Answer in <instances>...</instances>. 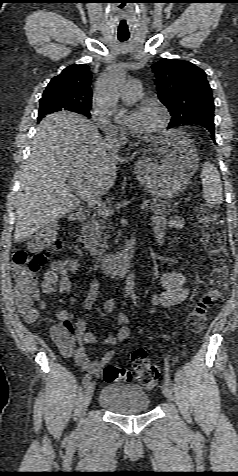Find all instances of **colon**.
Listing matches in <instances>:
<instances>
[{
  "instance_id": "obj_1",
  "label": "colon",
  "mask_w": 238,
  "mask_h": 476,
  "mask_svg": "<svg viewBox=\"0 0 238 476\" xmlns=\"http://www.w3.org/2000/svg\"><path fill=\"white\" fill-rule=\"evenodd\" d=\"M198 222L203 246L214 262V268L207 291L187 317V327L193 333H199L204 329L208 310L226 294L228 289L225 265L227 250L223 219L218 213L202 208L198 213ZM60 249L58 228L50 225L34 236L26 250H19L14 254L12 273L17 305L24 318L29 322H34L38 318V310L34 306L38 295L37 274ZM131 361L137 381L147 388L153 387L159 378V371L150 362L147 352L142 348L134 350L131 354ZM102 375L106 382H128L132 379L131 371L128 368L115 365L106 366Z\"/></svg>"
}]
</instances>
